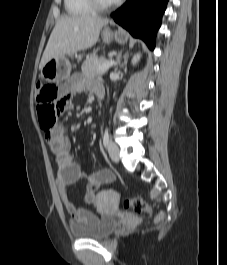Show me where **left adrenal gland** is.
<instances>
[{
    "mask_svg": "<svg viewBox=\"0 0 227 265\" xmlns=\"http://www.w3.org/2000/svg\"><path fill=\"white\" fill-rule=\"evenodd\" d=\"M120 59H121V53L117 57L116 66L120 64Z\"/></svg>",
    "mask_w": 227,
    "mask_h": 265,
    "instance_id": "1",
    "label": "left adrenal gland"
}]
</instances>
